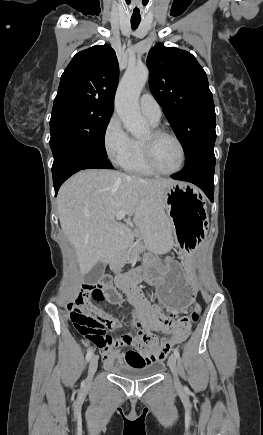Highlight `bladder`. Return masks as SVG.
<instances>
[{
	"instance_id": "31cf9c89",
	"label": "bladder",
	"mask_w": 263,
	"mask_h": 435,
	"mask_svg": "<svg viewBox=\"0 0 263 435\" xmlns=\"http://www.w3.org/2000/svg\"><path fill=\"white\" fill-rule=\"evenodd\" d=\"M162 368V363L152 362L139 367L122 365L114 367L112 371L123 378L137 380L154 377L162 370Z\"/></svg>"
}]
</instances>
